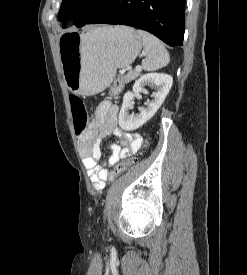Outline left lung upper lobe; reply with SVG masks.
I'll return each mask as SVG.
<instances>
[{
  "mask_svg": "<svg viewBox=\"0 0 247 275\" xmlns=\"http://www.w3.org/2000/svg\"><path fill=\"white\" fill-rule=\"evenodd\" d=\"M108 0H63L58 20L64 21L63 28H66V20L73 17L78 11V18L75 25L81 27L85 25L107 2ZM80 8H82L80 10Z\"/></svg>",
  "mask_w": 247,
  "mask_h": 275,
  "instance_id": "5c2ea615",
  "label": "left lung upper lobe"
}]
</instances>
